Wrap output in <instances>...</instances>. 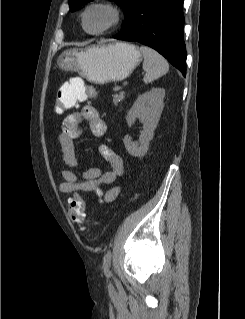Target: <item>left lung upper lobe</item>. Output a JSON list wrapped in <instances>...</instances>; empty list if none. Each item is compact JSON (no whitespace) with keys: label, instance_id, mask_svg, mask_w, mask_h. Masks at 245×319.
Segmentation results:
<instances>
[{"label":"left lung upper lobe","instance_id":"obj_1","mask_svg":"<svg viewBox=\"0 0 245 319\" xmlns=\"http://www.w3.org/2000/svg\"><path fill=\"white\" fill-rule=\"evenodd\" d=\"M92 1V0H69V6L71 7V11H74L81 5ZM115 3H117L119 6H121L125 13V21L122 24V28L124 25L128 22L129 18L131 17V14L134 10L135 5L139 0H113Z\"/></svg>","mask_w":245,"mask_h":319}]
</instances>
